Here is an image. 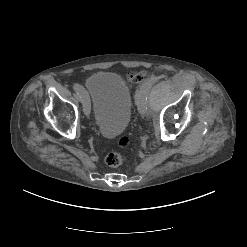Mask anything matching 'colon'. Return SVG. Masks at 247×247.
<instances>
[{"label": "colon", "mask_w": 247, "mask_h": 247, "mask_svg": "<svg viewBox=\"0 0 247 247\" xmlns=\"http://www.w3.org/2000/svg\"><path fill=\"white\" fill-rule=\"evenodd\" d=\"M144 76L145 74L142 71L133 72L129 74L128 80L131 83H138L143 79ZM129 144H130V139L128 136L121 137L117 141V144L114 147H112L109 153L107 154L105 158L106 164L110 167L120 166L125 159L124 150L129 146Z\"/></svg>", "instance_id": "obj_1"}]
</instances>
